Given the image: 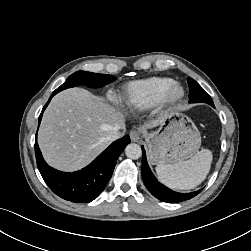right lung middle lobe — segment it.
I'll return each instance as SVG.
<instances>
[{"label":"right lung middle lobe","instance_id":"obj_1","mask_svg":"<svg viewBox=\"0 0 251 251\" xmlns=\"http://www.w3.org/2000/svg\"><path fill=\"white\" fill-rule=\"evenodd\" d=\"M116 80V77L107 74H97L87 71H77L70 75L64 84L56 89L57 92L67 88L84 85L90 88H100Z\"/></svg>","mask_w":251,"mask_h":251}]
</instances>
